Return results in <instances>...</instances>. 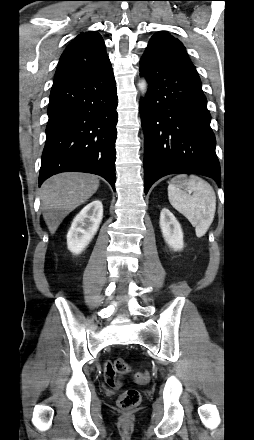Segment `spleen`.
I'll use <instances>...</instances> for the list:
<instances>
[{"label":"spleen","mask_w":254,"mask_h":440,"mask_svg":"<svg viewBox=\"0 0 254 440\" xmlns=\"http://www.w3.org/2000/svg\"><path fill=\"white\" fill-rule=\"evenodd\" d=\"M168 198L171 205L195 227L197 237L204 236L216 211L213 187L198 176L179 175L168 186Z\"/></svg>","instance_id":"3e777b00"}]
</instances>
